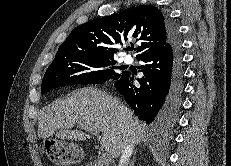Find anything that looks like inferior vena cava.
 <instances>
[{"mask_svg":"<svg viewBox=\"0 0 231 166\" xmlns=\"http://www.w3.org/2000/svg\"><path fill=\"white\" fill-rule=\"evenodd\" d=\"M133 144H128L125 148L124 151L121 154L118 166H128L130 157L133 152Z\"/></svg>","mask_w":231,"mask_h":166,"instance_id":"obj_1","label":"inferior vena cava"}]
</instances>
